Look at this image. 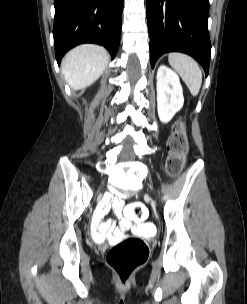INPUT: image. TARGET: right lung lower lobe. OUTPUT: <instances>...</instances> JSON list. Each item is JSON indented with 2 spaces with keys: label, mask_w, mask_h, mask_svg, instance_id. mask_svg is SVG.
Returning <instances> with one entry per match:
<instances>
[{
  "label": "right lung lower lobe",
  "mask_w": 247,
  "mask_h": 304,
  "mask_svg": "<svg viewBox=\"0 0 247 304\" xmlns=\"http://www.w3.org/2000/svg\"><path fill=\"white\" fill-rule=\"evenodd\" d=\"M124 0H54V46L58 64L81 43L104 46L115 57L120 42Z\"/></svg>",
  "instance_id": "1"
}]
</instances>
